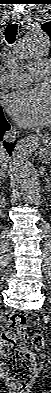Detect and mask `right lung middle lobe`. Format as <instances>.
Wrapping results in <instances>:
<instances>
[{
    "instance_id": "right-lung-middle-lobe-1",
    "label": "right lung middle lobe",
    "mask_w": 51,
    "mask_h": 393,
    "mask_svg": "<svg viewBox=\"0 0 51 393\" xmlns=\"http://www.w3.org/2000/svg\"><path fill=\"white\" fill-rule=\"evenodd\" d=\"M2 112V108L0 107V113Z\"/></svg>"
}]
</instances>
